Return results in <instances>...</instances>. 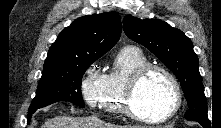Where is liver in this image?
Returning <instances> with one entry per match:
<instances>
[{
	"instance_id": "obj_1",
	"label": "liver",
	"mask_w": 221,
	"mask_h": 128,
	"mask_svg": "<svg viewBox=\"0 0 221 128\" xmlns=\"http://www.w3.org/2000/svg\"><path fill=\"white\" fill-rule=\"evenodd\" d=\"M41 128H144L140 125L118 126L106 123L97 116L70 117L56 116L46 121Z\"/></svg>"
}]
</instances>
